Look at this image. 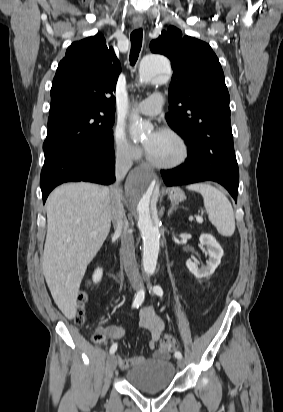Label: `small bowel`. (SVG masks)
<instances>
[{"instance_id":"small-bowel-1","label":"small bowel","mask_w":283,"mask_h":412,"mask_svg":"<svg viewBox=\"0 0 283 412\" xmlns=\"http://www.w3.org/2000/svg\"><path fill=\"white\" fill-rule=\"evenodd\" d=\"M139 321L142 328L150 332L151 339L149 341V348L151 350L156 349L157 341L164 329V321L162 318L156 314L154 308L152 306H145L140 309L139 312ZM104 331L106 332L107 336L109 337L110 341L113 342L114 340L121 338L124 335V330L115 325H109L104 327ZM155 357H162L159 351L154 353ZM117 360L119 361V367L122 371H125L144 360L143 356H137L133 358L123 359L118 357Z\"/></svg>"}]
</instances>
